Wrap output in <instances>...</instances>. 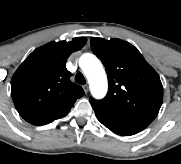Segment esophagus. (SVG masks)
<instances>
[{
	"mask_svg": "<svg viewBox=\"0 0 181 164\" xmlns=\"http://www.w3.org/2000/svg\"><path fill=\"white\" fill-rule=\"evenodd\" d=\"M83 89H84L85 93H87V92H88V89H89V88H88V85H87V84H84V85H83Z\"/></svg>",
	"mask_w": 181,
	"mask_h": 164,
	"instance_id": "obj_1",
	"label": "esophagus"
}]
</instances>
